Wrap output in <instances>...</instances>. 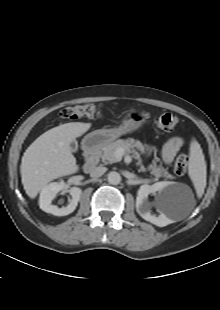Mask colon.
Returning a JSON list of instances; mask_svg holds the SVG:
<instances>
[{
  "mask_svg": "<svg viewBox=\"0 0 220 310\" xmlns=\"http://www.w3.org/2000/svg\"><path fill=\"white\" fill-rule=\"evenodd\" d=\"M100 115L99 105L87 102L79 105L68 106L60 111V116L68 120H77L81 118H93ZM156 126L163 131H173L177 124L178 118L172 113H162L155 119ZM189 164V158L181 154L175 161L174 170L178 175H183Z\"/></svg>",
  "mask_w": 220,
  "mask_h": 310,
  "instance_id": "5ec220e1",
  "label": "colon"
}]
</instances>
